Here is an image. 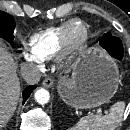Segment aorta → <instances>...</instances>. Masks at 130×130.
<instances>
[{
    "label": "aorta",
    "instance_id": "obj_1",
    "mask_svg": "<svg viewBox=\"0 0 130 130\" xmlns=\"http://www.w3.org/2000/svg\"><path fill=\"white\" fill-rule=\"evenodd\" d=\"M49 99H50V95L46 89L41 88L35 92V100L37 103L46 104L49 101Z\"/></svg>",
    "mask_w": 130,
    "mask_h": 130
}]
</instances>
